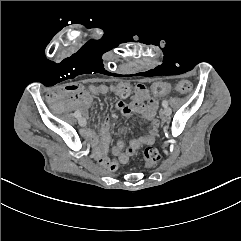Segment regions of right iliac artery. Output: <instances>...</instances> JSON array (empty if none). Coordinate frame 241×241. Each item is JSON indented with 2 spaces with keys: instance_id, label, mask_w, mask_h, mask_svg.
I'll return each instance as SVG.
<instances>
[{
  "instance_id": "obj_1",
  "label": "right iliac artery",
  "mask_w": 241,
  "mask_h": 241,
  "mask_svg": "<svg viewBox=\"0 0 241 241\" xmlns=\"http://www.w3.org/2000/svg\"><path fill=\"white\" fill-rule=\"evenodd\" d=\"M74 115H75L76 118H80L81 117V114L78 111H75Z\"/></svg>"
}]
</instances>
